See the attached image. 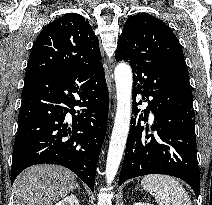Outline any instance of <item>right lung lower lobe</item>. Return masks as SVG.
<instances>
[{"label": "right lung lower lobe", "mask_w": 212, "mask_h": 205, "mask_svg": "<svg viewBox=\"0 0 212 205\" xmlns=\"http://www.w3.org/2000/svg\"><path fill=\"white\" fill-rule=\"evenodd\" d=\"M75 106L81 110H74ZM108 109L103 66L45 73L25 80L11 183L31 165L52 163L72 170L93 191ZM67 113L72 115L70 122L66 121Z\"/></svg>", "instance_id": "1"}]
</instances>
